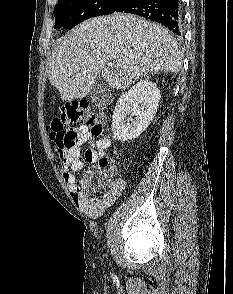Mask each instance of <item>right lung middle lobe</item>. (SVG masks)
I'll use <instances>...</instances> for the list:
<instances>
[{
	"mask_svg": "<svg viewBox=\"0 0 233 294\" xmlns=\"http://www.w3.org/2000/svg\"><path fill=\"white\" fill-rule=\"evenodd\" d=\"M123 0H59L54 8V28L72 29L95 16L113 13Z\"/></svg>",
	"mask_w": 233,
	"mask_h": 294,
	"instance_id": "obj_1",
	"label": "right lung middle lobe"
}]
</instances>
